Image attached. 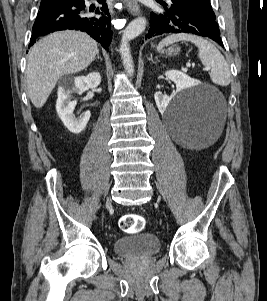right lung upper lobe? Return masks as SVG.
Here are the masks:
<instances>
[{
  "instance_id": "cb5924a9",
  "label": "right lung upper lobe",
  "mask_w": 267,
  "mask_h": 301,
  "mask_svg": "<svg viewBox=\"0 0 267 301\" xmlns=\"http://www.w3.org/2000/svg\"><path fill=\"white\" fill-rule=\"evenodd\" d=\"M49 1H52L53 3H59V2H61V1H63V0H49Z\"/></svg>"
}]
</instances>
